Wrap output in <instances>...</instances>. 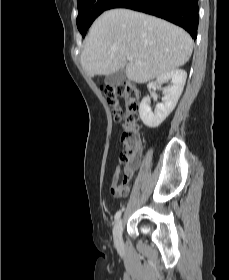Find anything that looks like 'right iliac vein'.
I'll use <instances>...</instances> for the list:
<instances>
[{"label":"right iliac vein","mask_w":229,"mask_h":280,"mask_svg":"<svg viewBox=\"0 0 229 280\" xmlns=\"http://www.w3.org/2000/svg\"><path fill=\"white\" fill-rule=\"evenodd\" d=\"M122 228V220H118L113 229L114 242L116 245H120L122 242Z\"/></svg>","instance_id":"obj_1"}]
</instances>
